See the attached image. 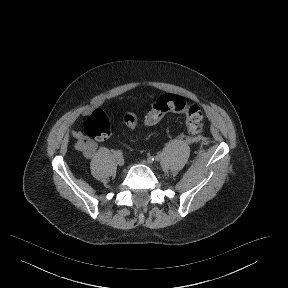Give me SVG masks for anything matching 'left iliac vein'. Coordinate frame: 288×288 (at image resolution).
<instances>
[{
  "mask_svg": "<svg viewBox=\"0 0 288 288\" xmlns=\"http://www.w3.org/2000/svg\"><path fill=\"white\" fill-rule=\"evenodd\" d=\"M143 164L148 165L150 167H152L154 165L153 161L151 158H147L146 160L142 161Z\"/></svg>",
  "mask_w": 288,
  "mask_h": 288,
  "instance_id": "obj_1",
  "label": "left iliac vein"
}]
</instances>
